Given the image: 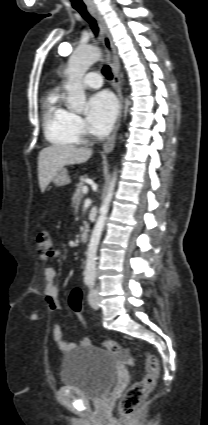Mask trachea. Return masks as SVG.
Returning <instances> with one entry per match:
<instances>
[{
    "instance_id": "1",
    "label": "trachea",
    "mask_w": 208,
    "mask_h": 425,
    "mask_svg": "<svg viewBox=\"0 0 208 425\" xmlns=\"http://www.w3.org/2000/svg\"><path fill=\"white\" fill-rule=\"evenodd\" d=\"M76 10L91 25V28H92L94 34L97 36L98 35V32H99L97 23H96L95 19L89 14V12L87 11V9L86 8H82V9H76ZM102 73L104 74V76L107 79H109V80L112 79V73H111V70H110L109 66L105 65L103 67V69H102Z\"/></svg>"
}]
</instances>
